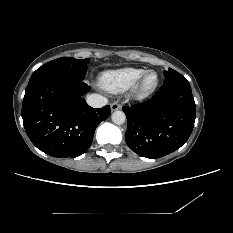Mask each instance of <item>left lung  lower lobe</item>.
<instances>
[{
	"label": "left lung lower lobe",
	"instance_id": "0a47b994",
	"mask_svg": "<svg viewBox=\"0 0 233 233\" xmlns=\"http://www.w3.org/2000/svg\"><path fill=\"white\" fill-rule=\"evenodd\" d=\"M125 140L136 154L158 158L179 149L190 137L196 107L189 82L178 72L167 77L149 100L124 106Z\"/></svg>",
	"mask_w": 233,
	"mask_h": 233
}]
</instances>
